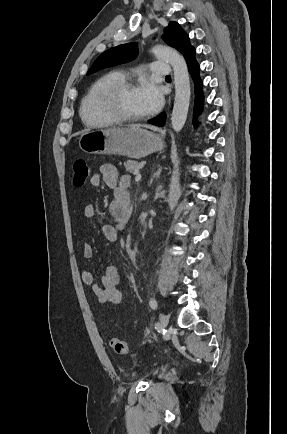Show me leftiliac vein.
Returning <instances> with one entry per match:
<instances>
[{
  "label": "left iliac vein",
  "instance_id": "left-iliac-vein-1",
  "mask_svg": "<svg viewBox=\"0 0 287 434\" xmlns=\"http://www.w3.org/2000/svg\"><path fill=\"white\" fill-rule=\"evenodd\" d=\"M169 324V315L167 313H162L160 315V329H165Z\"/></svg>",
  "mask_w": 287,
  "mask_h": 434
}]
</instances>
